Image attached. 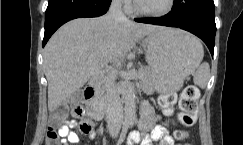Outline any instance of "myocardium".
I'll return each instance as SVG.
<instances>
[{
  "label": "myocardium",
  "mask_w": 243,
  "mask_h": 145,
  "mask_svg": "<svg viewBox=\"0 0 243 145\" xmlns=\"http://www.w3.org/2000/svg\"><path fill=\"white\" fill-rule=\"evenodd\" d=\"M134 6L137 12H139L140 14L146 15V16H150V17H164L167 16L168 14H170L174 7H175V0H169L168 6L162 10V11H149L144 9L141 5L139 0H134Z\"/></svg>",
  "instance_id": "1"
}]
</instances>
